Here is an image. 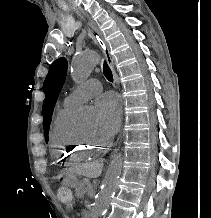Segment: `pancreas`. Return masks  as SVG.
I'll return each mask as SVG.
<instances>
[{"instance_id":"pancreas-1","label":"pancreas","mask_w":211,"mask_h":218,"mask_svg":"<svg viewBox=\"0 0 211 218\" xmlns=\"http://www.w3.org/2000/svg\"><path fill=\"white\" fill-rule=\"evenodd\" d=\"M83 186H84V184H83ZM84 189H85V188H81L80 190H77L76 194H77V195H86V192H85Z\"/></svg>"}]
</instances>
